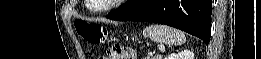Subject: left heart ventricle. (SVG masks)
<instances>
[{
    "label": "left heart ventricle",
    "mask_w": 261,
    "mask_h": 59,
    "mask_svg": "<svg viewBox=\"0 0 261 59\" xmlns=\"http://www.w3.org/2000/svg\"><path fill=\"white\" fill-rule=\"evenodd\" d=\"M110 0H93L92 3L95 7H102L109 3Z\"/></svg>",
    "instance_id": "1"
}]
</instances>
